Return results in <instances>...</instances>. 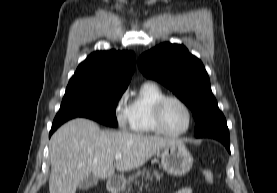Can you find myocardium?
<instances>
[{"instance_id": "f54148a6", "label": "myocardium", "mask_w": 277, "mask_h": 193, "mask_svg": "<svg viewBox=\"0 0 277 193\" xmlns=\"http://www.w3.org/2000/svg\"><path fill=\"white\" fill-rule=\"evenodd\" d=\"M170 100H174L176 102H178L179 104H181L184 109L187 112L188 115V122L187 125L184 129L180 130V131H169L163 122V108L164 105L166 104L167 101ZM153 118H154V124L156 127V130L158 131V133L166 135V136H171V137H176V136H181L185 133H187L192 124H193V113L191 108L189 107V105L180 97L175 96V95H165L163 97H161L155 104L154 106V110H153Z\"/></svg>"}]
</instances>
